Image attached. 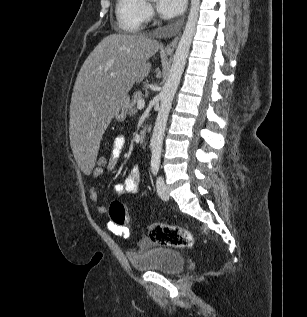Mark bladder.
Wrapping results in <instances>:
<instances>
[{"label": "bladder", "instance_id": "bladder-1", "mask_svg": "<svg viewBox=\"0 0 307 317\" xmlns=\"http://www.w3.org/2000/svg\"><path fill=\"white\" fill-rule=\"evenodd\" d=\"M128 260L138 272H160L177 274L185 265V257L179 251L157 247L147 250L140 256L129 255Z\"/></svg>", "mask_w": 307, "mask_h": 317}]
</instances>
